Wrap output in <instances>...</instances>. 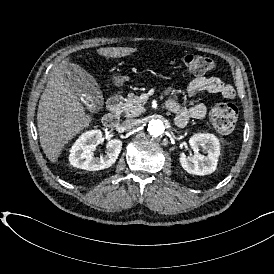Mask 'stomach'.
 <instances>
[{"label":"stomach","instance_id":"stomach-1","mask_svg":"<svg viewBox=\"0 0 274 274\" xmlns=\"http://www.w3.org/2000/svg\"><path fill=\"white\" fill-rule=\"evenodd\" d=\"M122 81H123V79H122L121 77H116V78H115V84H116V85H121V84H122Z\"/></svg>","mask_w":274,"mask_h":274}]
</instances>
